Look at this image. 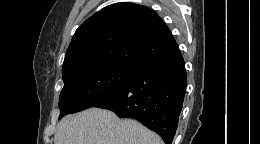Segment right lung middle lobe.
Masks as SVG:
<instances>
[{"label": "right lung middle lobe", "mask_w": 260, "mask_h": 144, "mask_svg": "<svg viewBox=\"0 0 260 144\" xmlns=\"http://www.w3.org/2000/svg\"><path fill=\"white\" fill-rule=\"evenodd\" d=\"M133 71L132 68L102 64L63 75L59 118L96 106L116 92Z\"/></svg>", "instance_id": "1"}]
</instances>
